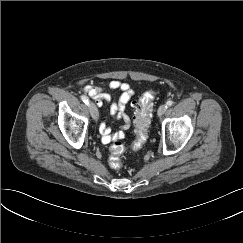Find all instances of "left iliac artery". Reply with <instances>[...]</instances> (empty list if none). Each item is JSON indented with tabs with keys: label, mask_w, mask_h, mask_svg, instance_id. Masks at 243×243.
I'll return each mask as SVG.
<instances>
[{
	"label": "left iliac artery",
	"mask_w": 243,
	"mask_h": 243,
	"mask_svg": "<svg viewBox=\"0 0 243 243\" xmlns=\"http://www.w3.org/2000/svg\"><path fill=\"white\" fill-rule=\"evenodd\" d=\"M173 105V101L169 100L166 102V107H170Z\"/></svg>",
	"instance_id": "1"
}]
</instances>
